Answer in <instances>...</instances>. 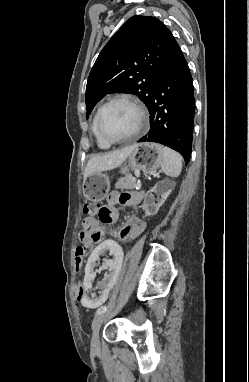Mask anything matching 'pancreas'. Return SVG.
<instances>
[{
  "label": "pancreas",
  "mask_w": 249,
  "mask_h": 382,
  "mask_svg": "<svg viewBox=\"0 0 249 382\" xmlns=\"http://www.w3.org/2000/svg\"><path fill=\"white\" fill-rule=\"evenodd\" d=\"M133 176L127 174L125 177L119 179L115 184L116 189H135L137 187L136 181H132Z\"/></svg>",
  "instance_id": "pancreas-1"
}]
</instances>
